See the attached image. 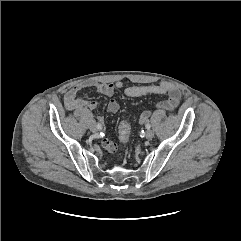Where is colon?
<instances>
[{
  "instance_id": "1",
  "label": "colon",
  "mask_w": 241,
  "mask_h": 241,
  "mask_svg": "<svg viewBox=\"0 0 241 241\" xmlns=\"http://www.w3.org/2000/svg\"><path fill=\"white\" fill-rule=\"evenodd\" d=\"M130 130V123L127 120H122L119 124V139L123 144H127Z\"/></svg>"
}]
</instances>
